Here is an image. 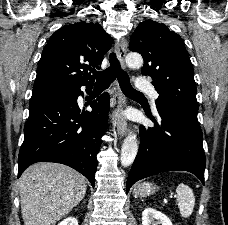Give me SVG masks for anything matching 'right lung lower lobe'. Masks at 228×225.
<instances>
[{"instance_id": "obj_1", "label": "right lung lower lobe", "mask_w": 228, "mask_h": 225, "mask_svg": "<svg viewBox=\"0 0 228 225\" xmlns=\"http://www.w3.org/2000/svg\"><path fill=\"white\" fill-rule=\"evenodd\" d=\"M81 94L79 87L31 98L18 177L33 163L56 162L74 168L94 187L96 155L107 128L109 95L104 93L94 100L91 112L80 113L77 98Z\"/></svg>"}]
</instances>
